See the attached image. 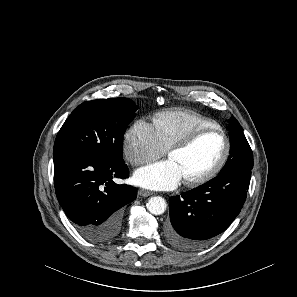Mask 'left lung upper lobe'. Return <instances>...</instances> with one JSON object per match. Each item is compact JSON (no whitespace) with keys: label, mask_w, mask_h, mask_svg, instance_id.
<instances>
[{"label":"left lung upper lobe","mask_w":297,"mask_h":297,"mask_svg":"<svg viewBox=\"0 0 297 297\" xmlns=\"http://www.w3.org/2000/svg\"><path fill=\"white\" fill-rule=\"evenodd\" d=\"M230 155L222 173H247L253 168L252 150L238 121L232 116L229 120Z\"/></svg>","instance_id":"left-lung-upper-lobe-1"}]
</instances>
